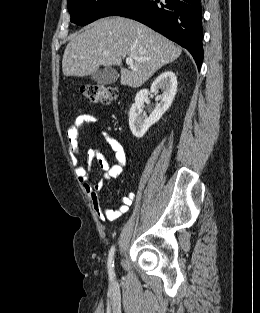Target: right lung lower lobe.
<instances>
[{
  "mask_svg": "<svg viewBox=\"0 0 260 313\" xmlns=\"http://www.w3.org/2000/svg\"><path fill=\"white\" fill-rule=\"evenodd\" d=\"M135 19L186 48L198 69L203 61L201 0H121L103 17Z\"/></svg>",
  "mask_w": 260,
  "mask_h": 313,
  "instance_id": "obj_1",
  "label": "right lung lower lobe"
}]
</instances>
